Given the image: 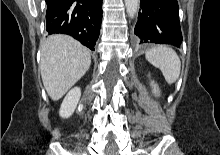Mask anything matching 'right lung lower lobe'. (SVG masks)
<instances>
[{"label":"right lung lower lobe","mask_w":220,"mask_h":155,"mask_svg":"<svg viewBox=\"0 0 220 155\" xmlns=\"http://www.w3.org/2000/svg\"><path fill=\"white\" fill-rule=\"evenodd\" d=\"M46 29L49 34H68L91 50L102 21V0H46Z\"/></svg>","instance_id":"1"}]
</instances>
